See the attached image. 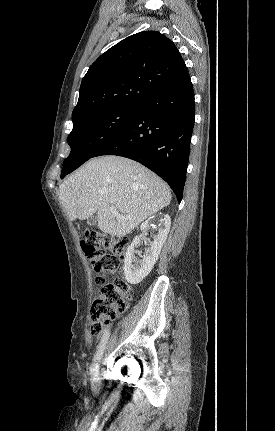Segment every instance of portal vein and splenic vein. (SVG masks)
Instances as JSON below:
<instances>
[{"mask_svg": "<svg viewBox=\"0 0 275 431\" xmlns=\"http://www.w3.org/2000/svg\"><path fill=\"white\" fill-rule=\"evenodd\" d=\"M110 211H111L112 213H114V214H117V209H116V207H114V206H111V207H110Z\"/></svg>", "mask_w": 275, "mask_h": 431, "instance_id": "1", "label": "portal vein and splenic vein"}]
</instances>
